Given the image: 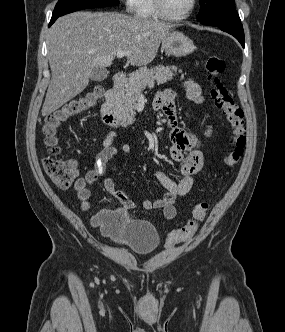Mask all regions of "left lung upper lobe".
Returning <instances> with one entry per match:
<instances>
[{"instance_id":"1","label":"left lung upper lobe","mask_w":285,"mask_h":332,"mask_svg":"<svg viewBox=\"0 0 285 332\" xmlns=\"http://www.w3.org/2000/svg\"><path fill=\"white\" fill-rule=\"evenodd\" d=\"M200 5L197 19L204 25L241 24L234 0H200Z\"/></svg>"}]
</instances>
